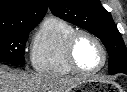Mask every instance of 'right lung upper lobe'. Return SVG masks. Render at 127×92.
Masks as SVG:
<instances>
[{
	"instance_id": "obj_1",
	"label": "right lung upper lobe",
	"mask_w": 127,
	"mask_h": 92,
	"mask_svg": "<svg viewBox=\"0 0 127 92\" xmlns=\"http://www.w3.org/2000/svg\"><path fill=\"white\" fill-rule=\"evenodd\" d=\"M47 9V0H1L0 30L37 25Z\"/></svg>"
}]
</instances>
